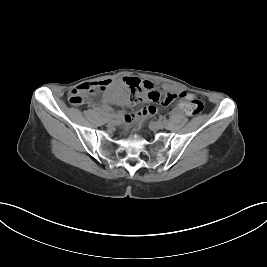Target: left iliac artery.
<instances>
[{"instance_id":"1","label":"left iliac artery","mask_w":267,"mask_h":267,"mask_svg":"<svg viewBox=\"0 0 267 267\" xmlns=\"http://www.w3.org/2000/svg\"><path fill=\"white\" fill-rule=\"evenodd\" d=\"M162 121L164 122V123H167V119L166 118H162Z\"/></svg>"}]
</instances>
